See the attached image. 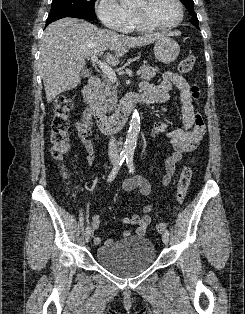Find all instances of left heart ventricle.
I'll list each match as a JSON object with an SVG mask.
<instances>
[{
    "label": "left heart ventricle",
    "instance_id": "obj_1",
    "mask_svg": "<svg viewBox=\"0 0 245 314\" xmlns=\"http://www.w3.org/2000/svg\"><path fill=\"white\" fill-rule=\"evenodd\" d=\"M131 8L156 23H171L179 18L175 0H133Z\"/></svg>",
    "mask_w": 245,
    "mask_h": 314
}]
</instances>
